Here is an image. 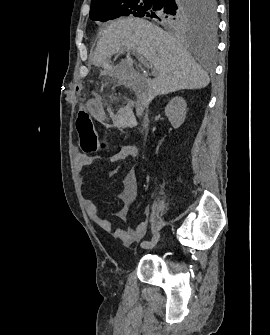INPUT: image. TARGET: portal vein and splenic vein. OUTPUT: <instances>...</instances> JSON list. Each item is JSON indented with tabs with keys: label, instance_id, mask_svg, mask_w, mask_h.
Returning <instances> with one entry per match:
<instances>
[{
	"label": "portal vein and splenic vein",
	"instance_id": "1",
	"mask_svg": "<svg viewBox=\"0 0 270 335\" xmlns=\"http://www.w3.org/2000/svg\"><path fill=\"white\" fill-rule=\"evenodd\" d=\"M126 52H130V50H126ZM120 54H124V52H120ZM136 56L138 57L137 61L139 63L143 62V65H145L146 70L152 69L153 62L151 60H149L147 57H144V55L141 54L140 52H137ZM150 75H153V72H150Z\"/></svg>",
	"mask_w": 270,
	"mask_h": 335
}]
</instances>
